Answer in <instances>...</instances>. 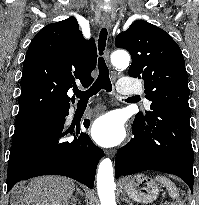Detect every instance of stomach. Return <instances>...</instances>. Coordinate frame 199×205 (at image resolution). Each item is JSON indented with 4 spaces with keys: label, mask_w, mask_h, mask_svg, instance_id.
Returning <instances> with one entry per match:
<instances>
[{
    "label": "stomach",
    "mask_w": 199,
    "mask_h": 205,
    "mask_svg": "<svg viewBox=\"0 0 199 205\" xmlns=\"http://www.w3.org/2000/svg\"><path fill=\"white\" fill-rule=\"evenodd\" d=\"M124 190L132 200L148 204L157 199L159 185L144 174H136L125 179Z\"/></svg>",
    "instance_id": "stomach-1"
}]
</instances>
